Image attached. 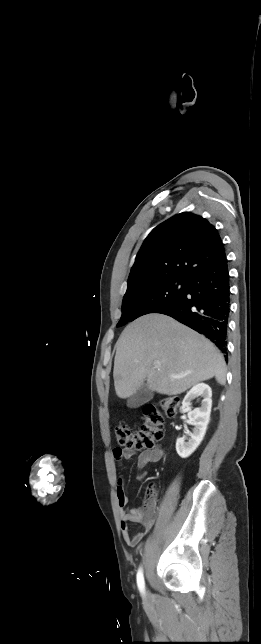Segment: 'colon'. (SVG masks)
Here are the masks:
<instances>
[{"label":"colon","mask_w":261,"mask_h":644,"mask_svg":"<svg viewBox=\"0 0 261 644\" xmlns=\"http://www.w3.org/2000/svg\"><path fill=\"white\" fill-rule=\"evenodd\" d=\"M179 405L175 396H166L158 404H147L143 408V424L139 431L132 432L125 425L115 428L118 443L124 447L135 449H151L163 437L164 414L174 417ZM152 504L149 499L146 504L145 515L151 512Z\"/></svg>","instance_id":"colon-1"}]
</instances>
